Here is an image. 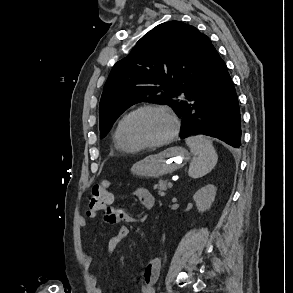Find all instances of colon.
<instances>
[{
    "instance_id": "1",
    "label": "colon",
    "mask_w": 293,
    "mask_h": 293,
    "mask_svg": "<svg viewBox=\"0 0 293 293\" xmlns=\"http://www.w3.org/2000/svg\"><path fill=\"white\" fill-rule=\"evenodd\" d=\"M112 203L110 183L107 180L96 184L88 198L87 210L91 214L105 212Z\"/></svg>"
}]
</instances>
